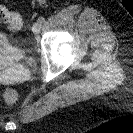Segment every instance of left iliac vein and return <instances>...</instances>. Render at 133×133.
Listing matches in <instances>:
<instances>
[{"instance_id":"left-iliac-vein-1","label":"left iliac vein","mask_w":133,"mask_h":133,"mask_svg":"<svg viewBox=\"0 0 133 133\" xmlns=\"http://www.w3.org/2000/svg\"><path fill=\"white\" fill-rule=\"evenodd\" d=\"M41 26H42L41 22L36 21V22L33 24V26H32V31H33L34 33L40 32Z\"/></svg>"}]
</instances>
